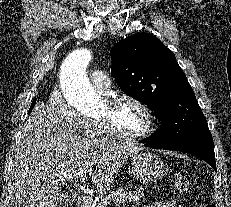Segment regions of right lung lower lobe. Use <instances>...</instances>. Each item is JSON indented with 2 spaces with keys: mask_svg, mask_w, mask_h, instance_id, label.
I'll use <instances>...</instances> for the list:
<instances>
[{
  "mask_svg": "<svg viewBox=\"0 0 231 207\" xmlns=\"http://www.w3.org/2000/svg\"><path fill=\"white\" fill-rule=\"evenodd\" d=\"M35 101H36V99H34V100H33V102H32V104H31V108H30V111H29V112H31L32 108L34 107V105H35Z\"/></svg>",
  "mask_w": 231,
  "mask_h": 207,
  "instance_id": "1",
  "label": "right lung lower lobe"
}]
</instances>
